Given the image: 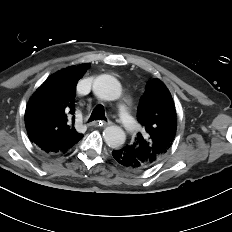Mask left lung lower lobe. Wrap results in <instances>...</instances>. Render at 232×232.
Masks as SVG:
<instances>
[{
  "label": "left lung lower lobe",
  "instance_id": "1",
  "mask_svg": "<svg viewBox=\"0 0 232 232\" xmlns=\"http://www.w3.org/2000/svg\"><path fill=\"white\" fill-rule=\"evenodd\" d=\"M112 156L114 161L120 166L132 170V171H140L142 169V164L140 161L133 155L128 146H124L123 148H119L112 151Z\"/></svg>",
  "mask_w": 232,
  "mask_h": 232
}]
</instances>
